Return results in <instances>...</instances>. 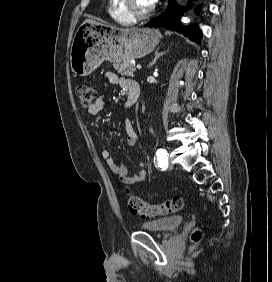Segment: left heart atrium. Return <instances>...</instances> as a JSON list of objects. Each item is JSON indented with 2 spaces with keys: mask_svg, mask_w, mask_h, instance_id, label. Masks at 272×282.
Masks as SVG:
<instances>
[{
  "mask_svg": "<svg viewBox=\"0 0 272 282\" xmlns=\"http://www.w3.org/2000/svg\"><path fill=\"white\" fill-rule=\"evenodd\" d=\"M156 1H157V0H150V2H151L152 4H154Z\"/></svg>",
  "mask_w": 272,
  "mask_h": 282,
  "instance_id": "1",
  "label": "left heart atrium"
}]
</instances>
